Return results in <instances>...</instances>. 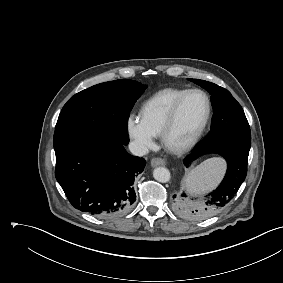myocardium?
<instances>
[{
	"label": "myocardium",
	"instance_id": "myocardium-1",
	"mask_svg": "<svg viewBox=\"0 0 283 283\" xmlns=\"http://www.w3.org/2000/svg\"><path fill=\"white\" fill-rule=\"evenodd\" d=\"M192 93H198L201 94L206 101V114L204 117V120L201 124V126L199 127V129L197 130V132L192 136V138H190L188 141L179 144V145H172L169 142V134L175 124L179 109L183 103V101L186 99L187 96H189ZM211 113H212V104H211V100L209 95L202 89H198V88H192V89H188L187 91H185L174 103V105L172 106L169 115L162 127V130L160 132V138H161V142L163 144V146L170 152L173 153H183L186 152L188 150H190L192 147H194L197 142L200 140V138L202 137L203 133L205 132L207 125L210 121L211 118Z\"/></svg>",
	"mask_w": 283,
	"mask_h": 283
}]
</instances>
